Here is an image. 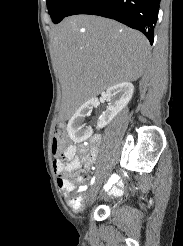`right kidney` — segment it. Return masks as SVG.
Masks as SVG:
<instances>
[{"label": "right kidney", "instance_id": "right-kidney-1", "mask_svg": "<svg viewBox=\"0 0 183 246\" xmlns=\"http://www.w3.org/2000/svg\"><path fill=\"white\" fill-rule=\"evenodd\" d=\"M134 86L130 82H123L109 87L105 94L108 102L107 110L97 124V128L105 127L114 117L122 111L132 98ZM97 99H91L81 105L67 125V131L74 142H80L90 136L88 129H84V118L88 116L90 110L96 105Z\"/></svg>", "mask_w": 183, "mask_h": 246}]
</instances>
